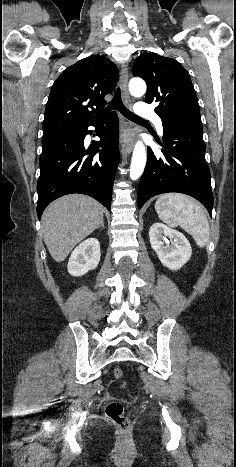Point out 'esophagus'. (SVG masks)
Returning a JSON list of instances; mask_svg holds the SVG:
<instances>
[{"instance_id": "34e87169", "label": "esophagus", "mask_w": 236, "mask_h": 467, "mask_svg": "<svg viewBox=\"0 0 236 467\" xmlns=\"http://www.w3.org/2000/svg\"><path fill=\"white\" fill-rule=\"evenodd\" d=\"M128 77L129 75H128L127 66L125 64H122L121 70H120V86H121L122 96H123V100L125 104L128 107H131L132 101H131V98L128 92V86H127ZM124 133H128L130 138L127 139L124 136ZM134 134H135V129L131 128L128 122H124L123 127H122V133H121V141H120L121 151L123 153L129 154L132 152L133 146H134L132 137L134 136Z\"/></svg>"}]
</instances>
